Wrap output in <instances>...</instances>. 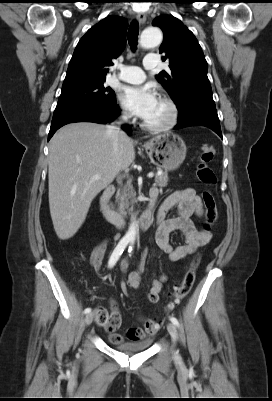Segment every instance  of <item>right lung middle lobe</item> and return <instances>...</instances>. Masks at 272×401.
I'll list each match as a JSON object with an SVG mask.
<instances>
[{
    "label": "right lung middle lobe",
    "mask_w": 272,
    "mask_h": 401,
    "mask_svg": "<svg viewBox=\"0 0 272 401\" xmlns=\"http://www.w3.org/2000/svg\"><path fill=\"white\" fill-rule=\"evenodd\" d=\"M104 81L62 90L54 115L85 107L110 108L116 102V96L110 87L104 86Z\"/></svg>",
    "instance_id": "right-lung-middle-lobe-1"
}]
</instances>
